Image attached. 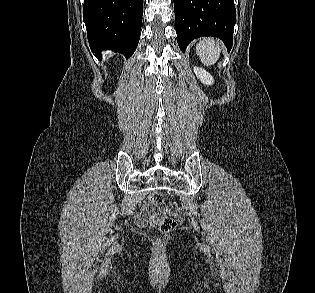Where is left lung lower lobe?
I'll return each mask as SVG.
<instances>
[{
    "mask_svg": "<svg viewBox=\"0 0 315 293\" xmlns=\"http://www.w3.org/2000/svg\"><path fill=\"white\" fill-rule=\"evenodd\" d=\"M174 10L177 42L182 51L201 36L218 37L231 49L236 23L233 0H174Z\"/></svg>",
    "mask_w": 315,
    "mask_h": 293,
    "instance_id": "0a47b994",
    "label": "left lung lower lobe"
}]
</instances>
